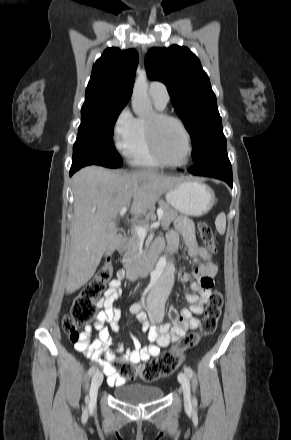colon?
<instances>
[{
  "instance_id": "obj_1",
  "label": "colon",
  "mask_w": 291,
  "mask_h": 440,
  "mask_svg": "<svg viewBox=\"0 0 291 440\" xmlns=\"http://www.w3.org/2000/svg\"><path fill=\"white\" fill-rule=\"evenodd\" d=\"M199 233L206 248L215 252V240L211 227L206 223L199 224ZM113 268L110 263L100 266L96 276L92 279L77 295L68 314L62 319V328L69 337L76 342H83L84 331L96 314L95 299L101 296L106 288V284L111 280ZM209 288V280L205 282ZM223 296L220 291H215L205 305V312L202 322V332L205 335L213 333L216 329L221 315ZM199 339L197 334H189L177 345L169 350L160 353L155 360L147 361L140 369L134 371L126 364H119L117 370L126 378L139 376L146 382H154L161 378L175 373L177 368L183 363V351L188 346L194 345ZM101 359L106 358L104 351L101 352Z\"/></svg>"
}]
</instances>
